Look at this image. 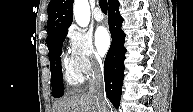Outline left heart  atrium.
<instances>
[{"instance_id":"39dd6f15","label":"left heart atrium","mask_w":193,"mask_h":112,"mask_svg":"<svg viewBox=\"0 0 193 112\" xmlns=\"http://www.w3.org/2000/svg\"><path fill=\"white\" fill-rule=\"evenodd\" d=\"M111 45V37L104 27H99L95 33V46L99 55L104 56Z\"/></svg>"}]
</instances>
